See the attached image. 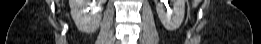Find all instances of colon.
I'll return each instance as SVG.
<instances>
[{
  "instance_id": "obj_1",
  "label": "colon",
  "mask_w": 261,
  "mask_h": 44,
  "mask_svg": "<svg viewBox=\"0 0 261 44\" xmlns=\"http://www.w3.org/2000/svg\"><path fill=\"white\" fill-rule=\"evenodd\" d=\"M199 1L198 0H194L193 4L196 5Z\"/></svg>"
}]
</instances>
